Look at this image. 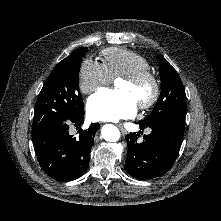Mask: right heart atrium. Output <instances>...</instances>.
Here are the masks:
<instances>
[{
    "instance_id": "1",
    "label": "right heart atrium",
    "mask_w": 221,
    "mask_h": 221,
    "mask_svg": "<svg viewBox=\"0 0 221 221\" xmlns=\"http://www.w3.org/2000/svg\"><path fill=\"white\" fill-rule=\"evenodd\" d=\"M112 82L104 65L93 59H85L79 69L78 86L83 94H90Z\"/></svg>"
}]
</instances>
